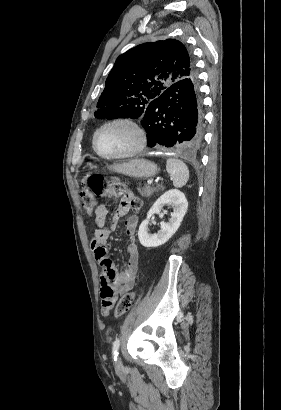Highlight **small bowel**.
<instances>
[{
    "mask_svg": "<svg viewBox=\"0 0 281 410\" xmlns=\"http://www.w3.org/2000/svg\"><path fill=\"white\" fill-rule=\"evenodd\" d=\"M111 190L109 193L112 194ZM141 207L140 200L131 192L125 193L122 196L118 209L111 217L109 227H106L107 222V208L104 204H99L95 210V224L97 229L91 241V249L95 260L102 268L100 277L101 298L102 304L105 300L110 299L112 306L116 298L132 289L135 283V277L138 270L139 250L135 241V232L138 226L137 212ZM134 211V214L125 219V230L129 237L127 244L128 261L123 264L119 270L114 262L107 256V240L116 227L119 220L126 216L129 211ZM111 308L107 311L103 309V315H108Z\"/></svg>",
    "mask_w": 281,
    "mask_h": 410,
    "instance_id": "small-bowel-1",
    "label": "small bowel"
}]
</instances>
